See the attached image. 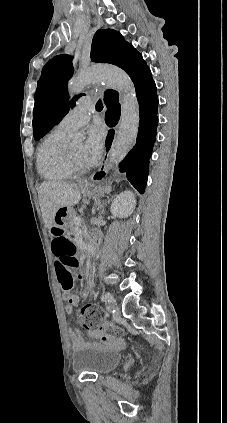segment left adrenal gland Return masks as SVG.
<instances>
[{
  "label": "left adrenal gland",
  "instance_id": "a2214340",
  "mask_svg": "<svg viewBox=\"0 0 227 423\" xmlns=\"http://www.w3.org/2000/svg\"><path fill=\"white\" fill-rule=\"evenodd\" d=\"M98 210H101L102 213H104V211H105V204H102V206H100V208H98Z\"/></svg>",
  "mask_w": 227,
  "mask_h": 423
}]
</instances>
